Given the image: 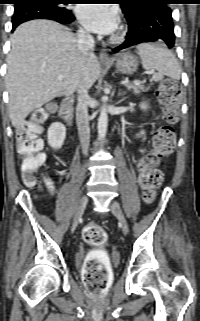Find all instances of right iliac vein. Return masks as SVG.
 <instances>
[{
	"label": "right iliac vein",
	"mask_w": 200,
	"mask_h": 321,
	"mask_svg": "<svg viewBox=\"0 0 200 321\" xmlns=\"http://www.w3.org/2000/svg\"><path fill=\"white\" fill-rule=\"evenodd\" d=\"M88 202V197L87 195H83L79 201V204L77 206L76 212L74 214V218H73V223H72V230L75 229V227L77 226L81 216L84 213L85 207L87 205Z\"/></svg>",
	"instance_id": "63e3f726"
}]
</instances>
